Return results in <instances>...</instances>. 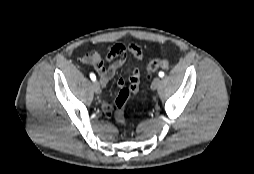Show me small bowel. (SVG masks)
Returning a JSON list of instances; mask_svg holds the SVG:
<instances>
[{"label":"small bowel","instance_id":"1","mask_svg":"<svg viewBox=\"0 0 254 174\" xmlns=\"http://www.w3.org/2000/svg\"><path fill=\"white\" fill-rule=\"evenodd\" d=\"M129 50L135 58L141 59L143 57L142 50L138 46H131ZM125 54L126 47L123 45H117L111 49L105 59H102L97 52H90L82 57V62L88 65H93L100 76L101 84L103 86H106L107 83L114 77L119 68L125 63V58L122 57L115 60L108 67H105V61H110L117 55L124 56ZM140 78V70L138 68H134L129 76V83L130 86L133 88V93L136 92L139 88ZM118 85L122 87L124 85V80L119 79ZM101 104L104 115L111 116L113 113V108L111 104L105 98H102Z\"/></svg>","mask_w":254,"mask_h":174}]
</instances>
